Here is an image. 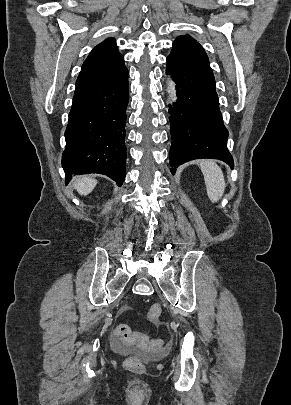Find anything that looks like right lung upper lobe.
<instances>
[{"label":"right lung upper lobe","mask_w":291,"mask_h":405,"mask_svg":"<svg viewBox=\"0 0 291 405\" xmlns=\"http://www.w3.org/2000/svg\"><path fill=\"white\" fill-rule=\"evenodd\" d=\"M125 70L124 57L118 51L115 40L108 38L97 45L83 63L75 92L115 79Z\"/></svg>","instance_id":"obj_1"}]
</instances>
